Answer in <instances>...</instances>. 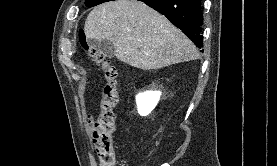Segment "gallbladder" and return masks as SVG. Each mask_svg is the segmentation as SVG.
<instances>
[{
    "label": "gallbladder",
    "instance_id": "gallbladder-1",
    "mask_svg": "<svg viewBox=\"0 0 277 166\" xmlns=\"http://www.w3.org/2000/svg\"><path fill=\"white\" fill-rule=\"evenodd\" d=\"M88 44L90 47L97 48L105 57L113 58L115 56L114 45L107 39H88Z\"/></svg>",
    "mask_w": 277,
    "mask_h": 166
}]
</instances>
